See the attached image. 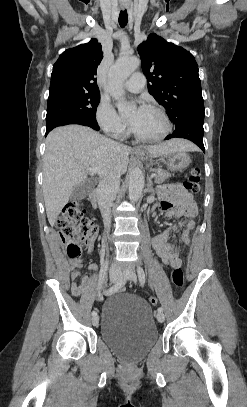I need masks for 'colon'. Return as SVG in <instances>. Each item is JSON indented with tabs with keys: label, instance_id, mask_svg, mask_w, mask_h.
Wrapping results in <instances>:
<instances>
[{
	"label": "colon",
	"instance_id": "colon-1",
	"mask_svg": "<svg viewBox=\"0 0 247 407\" xmlns=\"http://www.w3.org/2000/svg\"><path fill=\"white\" fill-rule=\"evenodd\" d=\"M184 188L190 193H198L200 190V170L193 167L183 183ZM56 227L59 231L65 250L70 258H78L82 252V244L92 241L97 233L96 225L85 218V209L78 200L69 202L61 211ZM171 282L180 287L184 277L180 266L173 267L170 274ZM152 305L157 304V298L149 299Z\"/></svg>",
	"mask_w": 247,
	"mask_h": 407
}]
</instances>
